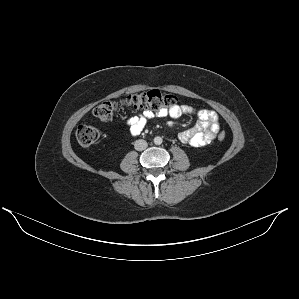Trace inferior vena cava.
<instances>
[{
    "instance_id": "obj_1",
    "label": "inferior vena cava",
    "mask_w": 299,
    "mask_h": 299,
    "mask_svg": "<svg viewBox=\"0 0 299 299\" xmlns=\"http://www.w3.org/2000/svg\"><path fill=\"white\" fill-rule=\"evenodd\" d=\"M147 146H148V143L143 139L136 140L134 143V148L137 151H143L147 148Z\"/></svg>"
}]
</instances>
